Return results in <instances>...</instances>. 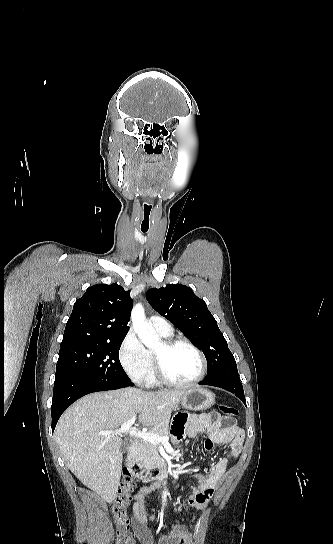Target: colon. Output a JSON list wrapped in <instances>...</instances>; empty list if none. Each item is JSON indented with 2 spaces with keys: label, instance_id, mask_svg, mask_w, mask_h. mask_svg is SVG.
<instances>
[{
  "label": "colon",
  "instance_id": "obj_1",
  "mask_svg": "<svg viewBox=\"0 0 333 544\" xmlns=\"http://www.w3.org/2000/svg\"><path fill=\"white\" fill-rule=\"evenodd\" d=\"M220 409L223 415L229 419L234 418L238 414V410L233 406H221ZM134 484L133 478L129 474H126L112 508L117 526V544H134L129 532V521L127 518V508L132 499Z\"/></svg>",
  "mask_w": 333,
  "mask_h": 544
}]
</instances>
